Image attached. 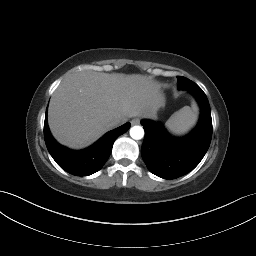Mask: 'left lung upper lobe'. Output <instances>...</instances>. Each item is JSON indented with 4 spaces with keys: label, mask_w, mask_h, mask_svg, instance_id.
I'll return each instance as SVG.
<instances>
[{
    "label": "left lung upper lobe",
    "mask_w": 256,
    "mask_h": 256,
    "mask_svg": "<svg viewBox=\"0 0 256 256\" xmlns=\"http://www.w3.org/2000/svg\"><path fill=\"white\" fill-rule=\"evenodd\" d=\"M177 78H178V88L179 89H186L188 82L191 81L182 76H178Z\"/></svg>",
    "instance_id": "1"
}]
</instances>
